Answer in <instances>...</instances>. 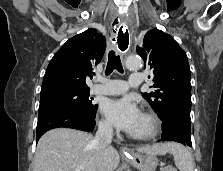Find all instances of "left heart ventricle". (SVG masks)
I'll return each instance as SVG.
<instances>
[{"label":"left heart ventricle","instance_id":"obj_1","mask_svg":"<svg viewBox=\"0 0 223 171\" xmlns=\"http://www.w3.org/2000/svg\"><path fill=\"white\" fill-rule=\"evenodd\" d=\"M149 131H150V123L146 118H144L141 115L138 120V123L136 124L135 128L131 131L130 134L142 135L148 133Z\"/></svg>","mask_w":223,"mask_h":171}]
</instances>
